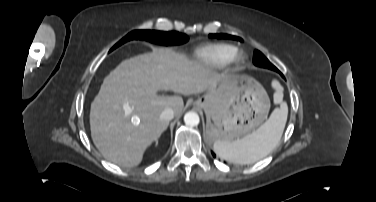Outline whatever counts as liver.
<instances>
[{
	"mask_svg": "<svg viewBox=\"0 0 376 202\" xmlns=\"http://www.w3.org/2000/svg\"><path fill=\"white\" fill-rule=\"evenodd\" d=\"M222 78L171 48H155L122 61L105 77L91 103L90 129L95 146L112 163L139 165L146 148L168 127V122L160 119L162 111L172 108L180 116L184 107L181 96H159L157 92L200 94Z\"/></svg>",
	"mask_w": 376,
	"mask_h": 202,
	"instance_id": "liver-1",
	"label": "liver"
}]
</instances>
